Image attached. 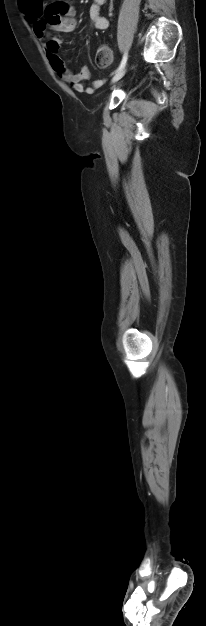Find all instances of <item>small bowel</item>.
Wrapping results in <instances>:
<instances>
[{
  "label": "small bowel",
  "mask_w": 206,
  "mask_h": 626,
  "mask_svg": "<svg viewBox=\"0 0 206 626\" xmlns=\"http://www.w3.org/2000/svg\"><path fill=\"white\" fill-rule=\"evenodd\" d=\"M104 3L105 0H93L89 9L90 25L97 30H105L109 26V21L100 15V8ZM25 15L32 21L34 33L37 38L43 41L47 58L61 79L79 93L91 94L103 85L105 80H95L86 86L84 82L90 78L88 67L83 66L78 72L73 73L58 53L61 43L60 35L69 34L77 27L76 10L72 3L55 1L44 5L39 0L31 9L25 10ZM49 30L58 35L50 37Z\"/></svg>",
  "instance_id": "c3829d8e"
}]
</instances>
